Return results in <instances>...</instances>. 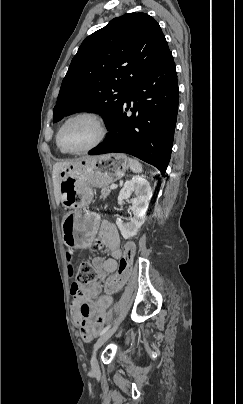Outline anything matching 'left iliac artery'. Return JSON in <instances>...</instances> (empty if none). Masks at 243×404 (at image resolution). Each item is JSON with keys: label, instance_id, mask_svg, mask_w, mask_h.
<instances>
[{"label": "left iliac artery", "instance_id": "44dca946", "mask_svg": "<svg viewBox=\"0 0 243 404\" xmlns=\"http://www.w3.org/2000/svg\"><path fill=\"white\" fill-rule=\"evenodd\" d=\"M111 327V324H109L108 326H106L101 332L100 335H103L105 332H107Z\"/></svg>", "mask_w": 243, "mask_h": 404}]
</instances>
